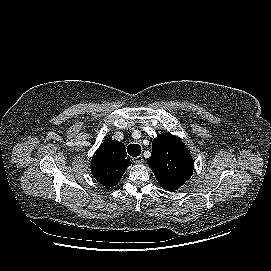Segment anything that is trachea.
<instances>
[{
	"label": "trachea",
	"instance_id": "obj_1",
	"mask_svg": "<svg viewBox=\"0 0 271 271\" xmlns=\"http://www.w3.org/2000/svg\"><path fill=\"white\" fill-rule=\"evenodd\" d=\"M141 151H142L141 146L138 144H130L127 147V152L132 157L139 156L141 154Z\"/></svg>",
	"mask_w": 271,
	"mask_h": 271
}]
</instances>
